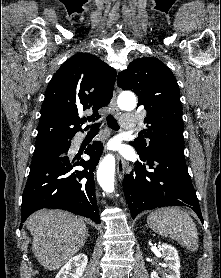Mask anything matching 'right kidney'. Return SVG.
<instances>
[{"label":"right kidney","mask_w":221,"mask_h":278,"mask_svg":"<svg viewBox=\"0 0 221 278\" xmlns=\"http://www.w3.org/2000/svg\"><path fill=\"white\" fill-rule=\"evenodd\" d=\"M88 258L81 253L71 258L57 273L55 278H80L87 266Z\"/></svg>","instance_id":"obj_1"}]
</instances>
